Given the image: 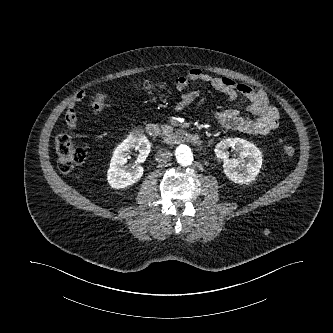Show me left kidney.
<instances>
[{"instance_id":"5707ae66","label":"left kidney","mask_w":333,"mask_h":333,"mask_svg":"<svg viewBox=\"0 0 333 333\" xmlns=\"http://www.w3.org/2000/svg\"><path fill=\"white\" fill-rule=\"evenodd\" d=\"M229 149H237L240 159L231 158ZM216 156L223 160L224 173L229 180L238 184L252 182L262 167V153L258 147L242 138L223 139L215 147ZM246 165L237 169L240 163Z\"/></svg>"}]
</instances>
